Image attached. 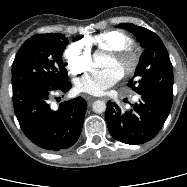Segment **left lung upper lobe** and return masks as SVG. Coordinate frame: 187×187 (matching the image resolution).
Masks as SVG:
<instances>
[{"label": "left lung upper lobe", "mask_w": 187, "mask_h": 187, "mask_svg": "<svg viewBox=\"0 0 187 187\" xmlns=\"http://www.w3.org/2000/svg\"><path fill=\"white\" fill-rule=\"evenodd\" d=\"M117 27L133 33L144 48L128 86L138 94L173 97V67L161 39L154 32L131 23H122Z\"/></svg>", "instance_id": "left-lung-upper-lobe-1"}]
</instances>
